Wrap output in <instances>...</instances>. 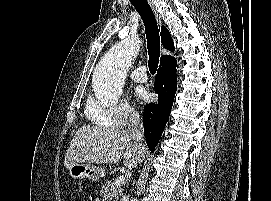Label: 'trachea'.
Here are the masks:
<instances>
[{
    "instance_id": "3493384b",
    "label": "trachea",
    "mask_w": 271,
    "mask_h": 201,
    "mask_svg": "<svg viewBox=\"0 0 271 201\" xmlns=\"http://www.w3.org/2000/svg\"><path fill=\"white\" fill-rule=\"evenodd\" d=\"M132 5L140 14L145 30L148 48L149 71L154 74L157 71L160 57V36L154 13L147 0H130Z\"/></svg>"
}]
</instances>
